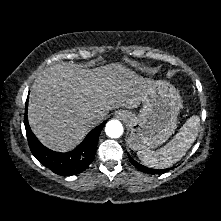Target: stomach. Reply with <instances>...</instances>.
<instances>
[{"label":"stomach","mask_w":221,"mask_h":221,"mask_svg":"<svg viewBox=\"0 0 221 221\" xmlns=\"http://www.w3.org/2000/svg\"><path fill=\"white\" fill-rule=\"evenodd\" d=\"M138 114L122 111L130 135L127 143L132 150L154 149L174 133L182 106L179 92L165 81H150L142 96Z\"/></svg>","instance_id":"obj_1"}]
</instances>
